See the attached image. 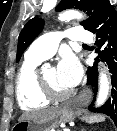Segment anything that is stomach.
<instances>
[{
    "label": "stomach",
    "mask_w": 117,
    "mask_h": 131,
    "mask_svg": "<svg viewBox=\"0 0 117 131\" xmlns=\"http://www.w3.org/2000/svg\"><path fill=\"white\" fill-rule=\"evenodd\" d=\"M73 118L72 107L65 105L47 117L19 121L12 129L14 131H54L61 124L72 121Z\"/></svg>",
    "instance_id": "1"
}]
</instances>
